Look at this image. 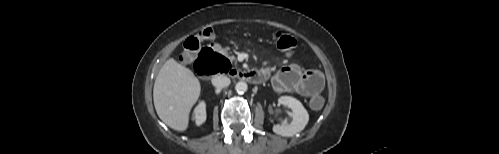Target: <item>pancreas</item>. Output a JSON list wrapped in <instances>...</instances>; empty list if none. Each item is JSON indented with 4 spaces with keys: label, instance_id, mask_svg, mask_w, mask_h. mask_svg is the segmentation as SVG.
Masks as SVG:
<instances>
[{
    "label": "pancreas",
    "instance_id": "cf45deb5",
    "mask_svg": "<svg viewBox=\"0 0 499 154\" xmlns=\"http://www.w3.org/2000/svg\"><path fill=\"white\" fill-rule=\"evenodd\" d=\"M229 58H230V60H232V61L235 59V57H234V56H231V57H229Z\"/></svg>",
    "mask_w": 499,
    "mask_h": 154
}]
</instances>
